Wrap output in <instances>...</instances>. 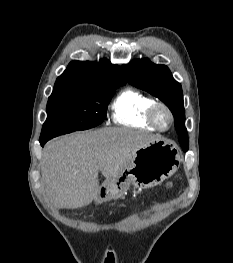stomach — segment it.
Returning a JSON list of instances; mask_svg holds the SVG:
<instances>
[{
    "label": "stomach",
    "instance_id": "stomach-1",
    "mask_svg": "<svg viewBox=\"0 0 233 263\" xmlns=\"http://www.w3.org/2000/svg\"><path fill=\"white\" fill-rule=\"evenodd\" d=\"M181 162L178 148L171 142L156 138L135 149L123 170L99 189L95 202L123 197L131 186L152 188L171 177Z\"/></svg>",
    "mask_w": 233,
    "mask_h": 263
}]
</instances>
